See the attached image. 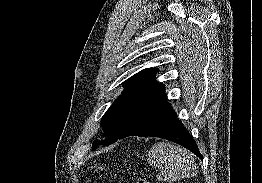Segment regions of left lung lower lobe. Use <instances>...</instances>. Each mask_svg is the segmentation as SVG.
<instances>
[{
	"label": "left lung lower lobe",
	"instance_id": "left-lung-lower-lobe-1",
	"mask_svg": "<svg viewBox=\"0 0 262 183\" xmlns=\"http://www.w3.org/2000/svg\"><path fill=\"white\" fill-rule=\"evenodd\" d=\"M132 135L167 139L182 145L202 160V155L194 139L182 125V122L177 118L176 112L168 101L164 102L153 113L146 124Z\"/></svg>",
	"mask_w": 262,
	"mask_h": 183
}]
</instances>
